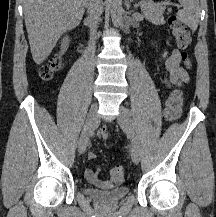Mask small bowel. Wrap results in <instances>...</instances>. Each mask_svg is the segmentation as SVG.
<instances>
[{"label": "small bowel", "mask_w": 216, "mask_h": 217, "mask_svg": "<svg viewBox=\"0 0 216 217\" xmlns=\"http://www.w3.org/2000/svg\"><path fill=\"white\" fill-rule=\"evenodd\" d=\"M160 61L164 65V69L161 74L163 76L164 84L167 87L172 86L178 81H188V71L191 64L189 59L187 57H183L179 50L165 49L160 57ZM95 157L94 153H88L89 160H94ZM85 178L89 183L100 188H108L115 184L112 179L103 180L100 178V169L98 166L87 168L85 170Z\"/></svg>", "instance_id": "small-bowel-1"}]
</instances>
